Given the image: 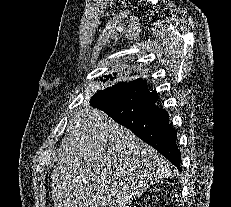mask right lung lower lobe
I'll return each instance as SVG.
<instances>
[{
    "instance_id": "right-lung-lower-lobe-1",
    "label": "right lung lower lobe",
    "mask_w": 231,
    "mask_h": 207,
    "mask_svg": "<svg viewBox=\"0 0 231 207\" xmlns=\"http://www.w3.org/2000/svg\"><path fill=\"white\" fill-rule=\"evenodd\" d=\"M119 97L100 99L95 94L91 105L103 110L119 124L153 146L180 169L181 153L176 145V130L169 125V116L158 106V94L150 92L143 79L125 82Z\"/></svg>"
}]
</instances>
